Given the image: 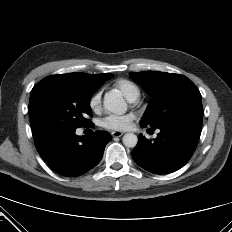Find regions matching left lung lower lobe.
<instances>
[{"instance_id":"obj_1","label":"left lung lower lobe","mask_w":232,"mask_h":232,"mask_svg":"<svg viewBox=\"0 0 232 232\" xmlns=\"http://www.w3.org/2000/svg\"><path fill=\"white\" fill-rule=\"evenodd\" d=\"M142 127L147 126L140 123ZM157 128L154 141L138 136L132 151L134 161L155 174H167L183 167L193 155L202 130V115H186L170 119ZM153 129V128H151Z\"/></svg>"}]
</instances>
